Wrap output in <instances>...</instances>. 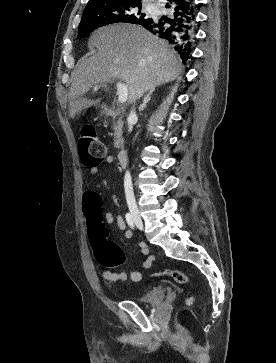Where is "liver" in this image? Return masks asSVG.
I'll return each mask as SVG.
<instances>
[{
    "label": "liver",
    "instance_id": "1",
    "mask_svg": "<svg viewBox=\"0 0 276 363\" xmlns=\"http://www.w3.org/2000/svg\"><path fill=\"white\" fill-rule=\"evenodd\" d=\"M89 45L97 52L83 57L73 72L69 117L100 102L84 98L94 85L121 80L134 103L145 92L174 81L182 72L179 56L167 42L140 25L115 24L98 29Z\"/></svg>",
    "mask_w": 276,
    "mask_h": 363
}]
</instances>
